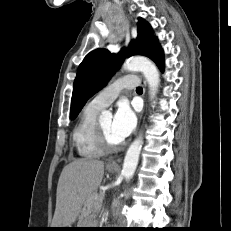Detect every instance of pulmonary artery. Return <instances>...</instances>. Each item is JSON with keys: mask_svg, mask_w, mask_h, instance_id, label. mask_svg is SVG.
<instances>
[{"mask_svg": "<svg viewBox=\"0 0 231 231\" xmlns=\"http://www.w3.org/2000/svg\"><path fill=\"white\" fill-rule=\"evenodd\" d=\"M139 84V79L134 74L121 77L99 92L89 103L91 106L103 109L109 106L123 89H133Z\"/></svg>", "mask_w": 231, "mask_h": 231, "instance_id": "obj_1", "label": "pulmonary artery"}]
</instances>
